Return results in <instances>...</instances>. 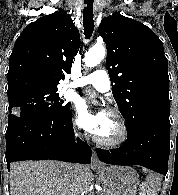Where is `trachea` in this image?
Instances as JSON below:
<instances>
[{
  "mask_svg": "<svg viewBox=\"0 0 178 195\" xmlns=\"http://www.w3.org/2000/svg\"><path fill=\"white\" fill-rule=\"evenodd\" d=\"M84 3L86 5L83 9L84 35L86 39H90L94 29L93 0H84Z\"/></svg>",
  "mask_w": 178,
  "mask_h": 195,
  "instance_id": "1",
  "label": "trachea"
}]
</instances>
